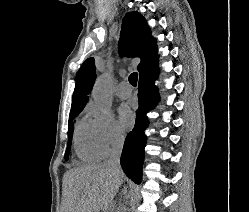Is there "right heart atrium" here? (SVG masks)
Returning a JSON list of instances; mask_svg holds the SVG:
<instances>
[{"label":"right heart atrium","mask_w":249,"mask_h":212,"mask_svg":"<svg viewBox=\"0 0 249 212\" xmlns=\"http://www.w3.org/2000/svg\"><path fill=\"white\" fill-rule=\"evenodd\" d=\"M93 126V141L98 158L108 159L123 145L124 137L110 113L100 112L93 103L85 108Z\"/></svg>","instance_id":"obj_1"}]
</instances>
